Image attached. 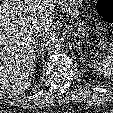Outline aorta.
I'll return each mask as SVG.
<instances>
[{
  "instance_id": "aorta-1",
  "label": "aorta",
  "mask_w": 113,
  "mask_h": 113,
  "mask_svg": "<svg viewBox=\"0 0 113 113\" xmlns=\"http://www.w3.org/2000/svg\"><path fill=\"white\" fill-rule=\"evenodd\" d=\"M64 41L61 34L53 33L45 39L44 45L48 51H59L63 47Z\"/></svg>"
}]
</instances>
